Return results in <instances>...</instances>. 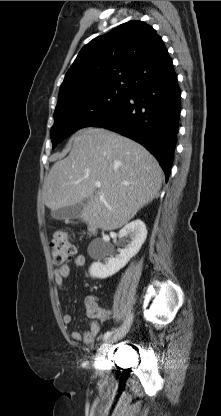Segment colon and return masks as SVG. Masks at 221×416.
<instances>
[{"label": "colon", "instance_id": "1", "mask_svg": "<svg viewBox=\"0 0 221 416\" xmlns=\"http://www.w3.org/2000/svg\"><path fill=\"white\" fill-rule=\"evenodd\" d=\"M50 249L53 263L57 265L65 263L75 252L74 246L63 232H56L53 235Z\"/></svg>", "mask_w": 221, "mask_h": 416}]
</instances>
